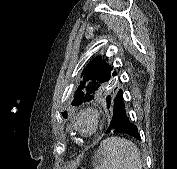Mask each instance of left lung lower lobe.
<instances>
[{"instance_id": "1", "label": "left lung lower lobe", "mask_w": 177, "mask_h": 169, "mask_svg": "<svg viewBox=\"0 0 177 169\" xmlns=\"http://www.w3.org/2000/svg\"><path fill=\"white\" fill-rule=\"evenodd\" d=\"M106 102H110V105H112L113 117L105 133H123L140 140L141 138L137 126L131 122L130 117L126 112L122 90L120 89L113 99L107 97Z\"/></svg>"}]
</instances>
